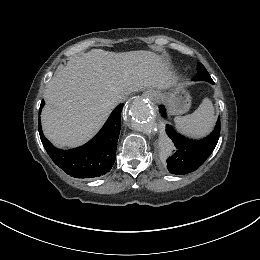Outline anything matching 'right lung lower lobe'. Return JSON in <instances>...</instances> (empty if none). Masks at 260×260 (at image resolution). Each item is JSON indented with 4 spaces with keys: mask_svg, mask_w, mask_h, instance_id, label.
<instances>
[{
    "mask_svg": "<svg viewBox=\"0 0 260 260\" xmlns=\"http://www.w3.org/2000/svg\"><path fill=\"white\" fill-rule=\"evenodd\" d=\"M44 106L41 102L39 114ZM123 104L118 105L99 133L85 145L72 149L55 148L43 135L39 120V134L47 153L53 162L70 176L93 178L106 174L112 168L117 141L121 128V111Z\"/></svg>",
    "mask_w": 260,
    "mask_h": 260,
    "instance_id": "right-lung-lower-lobe-1",
    "label": "right lung lower lobe"
}]
</instances>
